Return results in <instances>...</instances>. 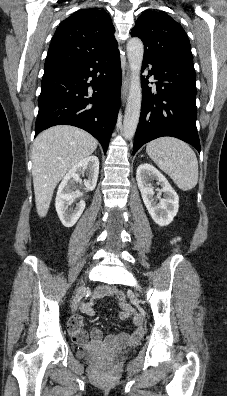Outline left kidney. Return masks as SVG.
I'll use <instances>...</instances> for the list:
<instances>
[{
	"label": "left kidney",
	"mask_w": 227,
	"mask_h": 396,
	"mask_svg": "<svg viewBox=\"0 0 227 396\" xmlns=\"http://www.w3.org/2000/svg\"><path fill=\"white\" fill-rule=\"evenodd\" d=\"M136 180L143 202L153 221L159 226L170 224L178 212L179 197L165 176L153 165L143 163L137 168ZM152 180H157L162 187L157 189L156 197H154V188L149 184ZM162 194L164 198H161Z\"/></svg>",
	"instance_id": "left-kidney-1"
}]
</instances>
